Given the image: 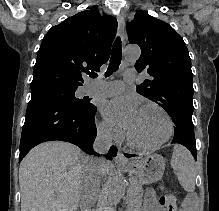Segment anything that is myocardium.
<instances>
[{
	"label": "myocardium",
	"instance_id": "1",
	"mask_svg": "<svg viewBox=\"0 0 219 211\" xmlns=\"http://www.w3.org/2000/svg\"><path fill=\"white\" fill-rule=\"evenodd\" d=\"M146 107H154V108H157L158 110H160L163 115L165 116L166 118V122H167V130H166V133L164 135V137L155 142V143H152V144H143V143H139V142H136L131 136L130 134L128 133V131L126 130L125 131V138L127 140V142L133 146V147H136V148H139V149H156L158 147H160L161 145L165 144L172 136L173 134V121H172V118L169 114V112L163 107L161 106L160 104L156 103V102H152V101H149V102H145L141 105L140 109L142 108H146Z\"/></svg>",
	"mask_w": 219,
	"mask_h": 211
}]
</instances>
